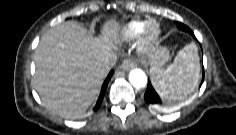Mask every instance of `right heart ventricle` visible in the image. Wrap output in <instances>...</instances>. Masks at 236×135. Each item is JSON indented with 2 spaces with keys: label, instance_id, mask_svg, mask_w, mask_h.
<instances>
[{
  "label": "right heart ventricle",
  "instance_id": "e07e8e85",
  "mask_svg": "<svg viewBox=\"0 0 236 135\" xmlns=\"http://www.w3.org/2000/svg\"><path fill=\"white\" fill-rule=\"evenodd\" d=\"M145 20H131L121 26L117 32V37L122 41H132L140 37Z\"/></svg>",
  "mask_w": 236,
  "mask_h": 135
}]
</instances>
